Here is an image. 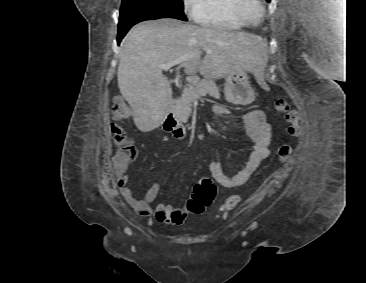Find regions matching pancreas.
Wrapping results in <instances>:
<instances>
[{
	"mask_svg": "<svg viewBox=\"0 0 366 283\" xmlns=\"http://www.w3.org/2000/svg\"><path fill=\"white\" fill-rule=\"evenodd\" d=\"M188 88L189 89L184 90L177 104L176 113L179 120L182 122H187L191 114L192 103L197 97L209 94L215 99L220 98L218 87L213 80L209 78L200 80L197 76H193L190 78V85Z\"/></svg>",
	"mask_w": 366,
	"mask_h": 283,
	"instance_id": "obj_1",
	"label": "pancreas"
}]
</instances>
